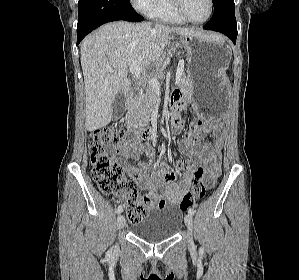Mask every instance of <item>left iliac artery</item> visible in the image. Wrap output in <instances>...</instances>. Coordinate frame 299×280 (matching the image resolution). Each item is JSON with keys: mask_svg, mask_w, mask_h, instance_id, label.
Listing matches in <instances>:
<instances>
[{"mask_svg": "<svg viewBox=\"0 0 299 280\" xmlns=\"http://www.w3.org/2000/svg\"><path fill=\"white\" fill-rule=\"evenodd\" d=\"M188 213L191 214V215H193V214L195 213V211H194L193 208H190V209L188 210Z\"/></svg>", "mask_w": 299, "mask_h": 280, "instance_id": "1", "label": "left iliac artery"}]
</instances>
